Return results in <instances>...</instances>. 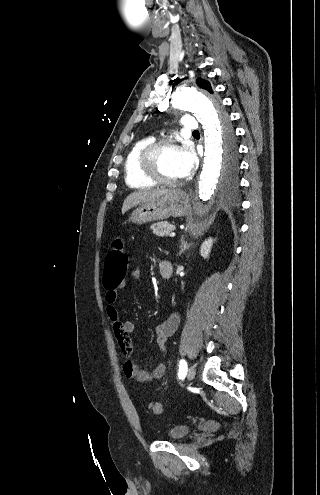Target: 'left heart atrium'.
<instances>
[{
    "label": "left heart atrium",
    "mask_w": 320,
    "mask_h": 495,
    "mask_svg": "<svg viewBox=\"0 0 320 495\" xmlns=\"http://www.w3.org/2000/svg\"><path fill=\"white\" fill-rule=\"evenodd\" d=\"M195 163L196 157L193 150L189 147H184L180 155L181 176H188L192 172Z\"/></svg>",
    "instance_id": "left-heart-atrium-1"
}]
</instances>
